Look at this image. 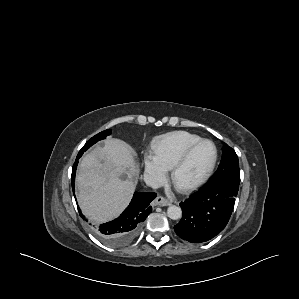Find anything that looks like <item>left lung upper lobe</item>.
I'll use <instances>...</instances> for the list:
<instances>
[{"label": "left lung upper lobe", "instance_id": "1", "mask_svg": "<svg viewBox=\"0 0 299 299\" xmlns=\"http://www.w3.org/2000/svg\"><path fill=\"white\" fill-rule=\"evenodd\" d=\"M220 165L208 182H230L236 185L240 183V171L238 156L227 144L223 147Z\"/></svg>", "mask_w": 299, "mask_h": 299}]
</instances>
